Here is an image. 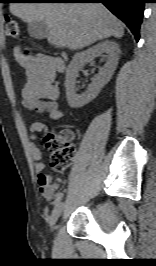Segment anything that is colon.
Masks as SVG:
<instances>
[{
  "instance_id": "1",
  "label": "colon",
  "mask_w": 156,
  "mask_h": 266,
  "mask_svg": "<svg viewBox=\"0 0 156 266\" xmlns=\"http://www.w3.org/2000/svg\"><path fill=\"white\" fill-rule=\"evenodd\" d=\"M6 36L12 40L21 37L19 24L15 19L6 16L4 20ZM24 56H29L26 51ZM73 132L63 130L57 134L48 133L45 137L46 146L51 151L50 163L53 169L63 171L68 168L75 157V147L72 143Z\"/></svg>"
}]
</instances>
